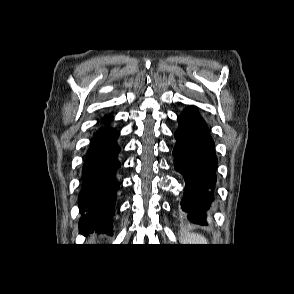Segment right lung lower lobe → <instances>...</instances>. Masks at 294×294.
<instances>
[{"label":"right lung lower lobe","mask_w":294,"mask_h":294,"mask_svg":"<svg viewBox=\"0 0 294 294\" xmlns=\"http://www.w3.org/2000/svg\"><path fill=\"white\" fill-rule=\"evenodd\" d=\"M106 122L110 121L107 117ZM119 132L111 128L98 130L92 139L83 168V188L79 197L82 213L80 231L112 233L111 215L114 212L116 190L119 187L115 171L120 163L116 144Z\"/></svg>","instance_id":"obj_1"}]
</instances>
